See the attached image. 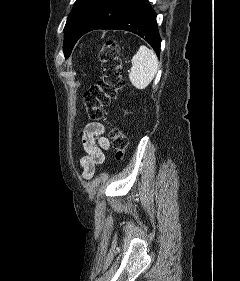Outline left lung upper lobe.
Listing matches in <instances>:
<instances>
[{
    "instance_id": "left-lung-upper-lobe-1",
    "label": "left lung upper lobe",
    "mask_w": 240,
    "mask_h": 281,
    "mask_svg": "<svg viewBox=\"0 0 240 281\" xmlns=\"http://www.w3.org/2000/svg\"><path fill=\"white\" fill-rule=\"evenodd\" d=\"M102 1L103 0H77L75 2L64 28L63 50L66 58L69 57L77 42L83 26Z\"/></svg>"
}]
</instances>
